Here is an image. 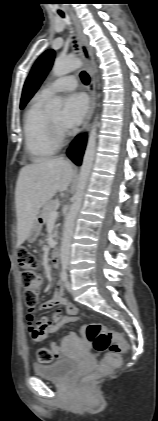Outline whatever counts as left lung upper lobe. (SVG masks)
<instances>
[{"mask_svg":"<svg viewBox=\"0 0 158 421\" xmlns=\"http://www.w3.org/2000/svg\"><path fill=\"white\" fill-rule=\"evenodd\" d=\"M54 60V51H45L35 62L30 75L28 76L22 93L20 108H24L34 93L38 90L42 81L50 70Z\"/></svg>","mask_w":158,"mask_h":421,"instance_id":"obj_1","label":"left lung upper lobe"}]
</instances>
